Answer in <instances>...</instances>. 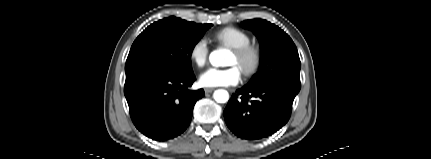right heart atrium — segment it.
<instances>
[{
	"label": "right heart atrium",
	"mask_w": 431,
	"mask_h": 159,
	"mask_svg": "<svg viewBox=\"0 0 431 159\" xmlns=\"http://www.w3.org/2000/svg\"><path fill=\"white\" fill-rule=\"evenodd\" d=\"M208 55L209 47L205 38L197 39L189 49V58L198 67L206 64Z\"/></svg>",
	"instance_id": "right-heart-atrium-1"
}]
</instances>
